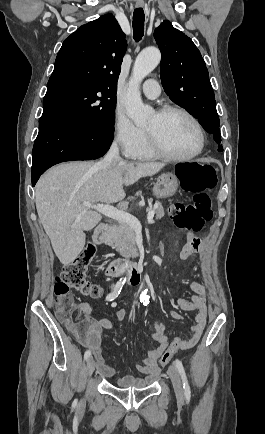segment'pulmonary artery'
<instances>
[{"instance_id":"e3ab8cb5","label":"pulmonary artery","mask_w":265,"mask_h":434,"mask_svg":"<svg viewBox=\"0 0 265 434\" xmlns=\"http://www.w3.org/2000/svg\"><path fill=\"white\" fill-rule=\"evenodd\" d=\"M160 84L157 79H147L143 91L147 96L156 97L161 93Z\"/></svg>"}]
</instances>
